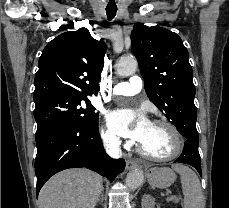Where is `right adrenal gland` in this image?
<instances>
[{
  "label": "right adrenal gland",
  "instance_id": "2a0ac1e0",
  "mask_svg": "<svg viewBox=\"0 0 229 208\" xmlns=\"http://www.w3.org/2000/svg\"><path fill=\"white\" fill-rule=\"evenodd\" d=\"M103 196H104V192H101L96 204H99V202H103Z\"/></svg>",
  "mask_w": 229,
  "mask_h": 208
}]
</instances>
